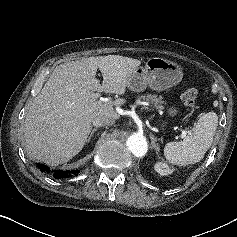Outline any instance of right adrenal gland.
I'll return each mask as SVG.
<instances>
[{"label":"right adrenal gland","mask_w":237,"mask_h":237,"mask_svg":"<svg viewBox=\"0 0 237 237\" xmlns=\"http://www.w3.org/2000/svg\"><path fill=\"white\" fill-rule=\"evenodd\" d=\"M98 130V127L92 129L91 134L89 136V138L87 139V142H90V140L92 139V137L94 136V133Z\"/></svg>","instance_id":"2a0ac1e0"}]
</instances>
